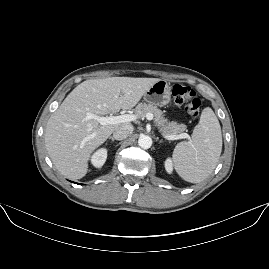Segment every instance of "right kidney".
<instances>
[{"label":"right kidney","mask_w":269,"mask_h":269,"mask_svg":"<svg viewBox=\"0 0 269 269\" xmlns=\"http://www.w3.org/2000/svg\"><path fill=\"white\" fill-rule=\"evenodd\" d=\"M107 157V152L106 150H99L98 152H96L93 156V164L97 167L102 166L106 160Z\"/></svg>","instance_id":"right-kidney-1"}]
</instances>
